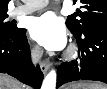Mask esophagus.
<instances>
[{
	"instance_id": "esophagus-1",
	"label": "esophagus",
	"mask_w": 107,
	"mask_h": 89,
	"mask_svg": "<svg viewBox=\"0 0 107 89\" xmlns=\"http://www.w3.org/2000/svg\"><path fill=\"white\" fill-rule=\"evenodd\" d=\"M40 67H41L42 72H43L44 74H46L47 71H48V70L50 69V67H51V63H50V62L42 61Z\"/></svg>"
}]
</instances>
